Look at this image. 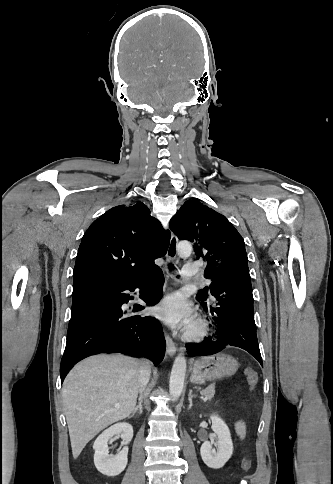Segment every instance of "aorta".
<instances>
[{"label":"aorta","instance_id":"762f6f07","mask_svg":"<svg viewBox=\"0 0 333 484\" xmlns=\"http://www.w3.org/2000/svg\"><path fill=\"white\" fill-rule=\"evenodd\" d=\"M191 252L192 246L189 242H180L177 245V253L180 257H188ZM186 368V358L183 353H180L174 360L169 382V391L173 400H177L183 391Z\"/></svg>","mask_w":333,"mask_h":484}]
</instances>
